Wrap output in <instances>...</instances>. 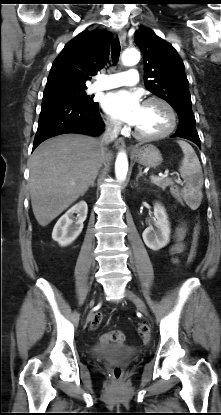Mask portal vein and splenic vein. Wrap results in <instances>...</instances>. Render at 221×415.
Segmentation results:
<instances>
[{
  "mask_svg": "<svg viewBox=\"0 0 221 415\" xmlns=\"http://www.w3.org/2000/svg\"><path fill=\"white\" fill-rule=\"evenodd\" d=\"M168 175H169V172L168 171H165L164 174H159V177L158 176H151V179L164 178V177H167ZM176 182L177 183H181V179L178 177L176 179Z\"/></svg>",
  "mask_w": 221,
  "mask_h": 415,
  "instance_id": "portal-vein-and-splenic-vein-1",
  "label": "portal vein and splenic vein"
}]
</instances>
